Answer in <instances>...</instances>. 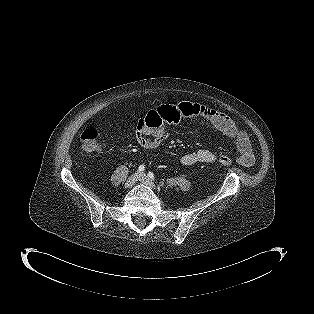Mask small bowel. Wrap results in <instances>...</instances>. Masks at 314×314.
Masks as SVG:
<instances>
[{"label": "small bowel", "mask_w": 314, "mask_h": 314, "mask_svg": "<svg viewBox=\"0 0 314 314\" xmlns=\"http://www.w3.org/2000/svg\"><path fill=\"white\" fill-rule=\"evenodd\" d=\"M201 118L230 139H234L239 152L238 162L250 167L254 163V153L248 134L225 113L193 102L180 101L176 104L164 103L156 109L150 110L140 118L136 126V139L141 148L152 150L159 147L167 138L165 125H179L191 123ZM217 161V154L207 149H200L185 153L180 162L185 166L197 163H213Z\"/></svg>", "instance_id": "c3829d8e"}]
</instances>
